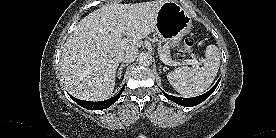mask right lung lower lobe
<instances>
[{
  "label": "right lung lower lobe",
  "mask_w": 276,
  "mask_h": 138,
  "mask_svg": "<svg viewBox=\"0 0 276 138\" xmlns=\"http://www.w3.org/2000/svg\"><path fill=\"white\" fill-rule=\"evenodd\" d=\"M124 88H125V86L122 87V89L120 90V92L116 96H114V97H112V98H110L108 100L100 101V102H91V101L79 100L77 98L72 97L71 95H70V97L78 105H80V106H82V107H84V108H86L88 110H102V109L108 108L114 102H116L119 99V97H120L121 93L123 92Z\"/></svg>",
  "instance_id": "obj_1"
}]
</instances>
